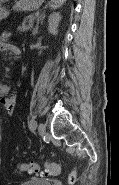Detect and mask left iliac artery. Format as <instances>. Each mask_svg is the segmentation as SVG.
Listing matches in <instances>:
<instances>
[{"mask_svg":"<svg viewBox=\"0 0 119 185\" xmlns=\"http://www.w3.org/2000/svg\"><path fill=\"white\" fill-rule=\"evenodd\" d=\"M29 128L31 131L36 130L37 128V122L34 118H31L30 122H29Z\"/></svg>","mask_w":119,"mask_h":185,"instance_id":"44dca946","label":"left iliac artery"}]
</instances>
